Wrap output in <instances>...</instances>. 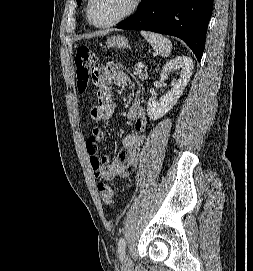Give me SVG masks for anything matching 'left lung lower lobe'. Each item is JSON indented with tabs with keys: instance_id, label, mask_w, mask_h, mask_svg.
<instances>
[{
	"instance_id": "obj_1",
	"label": "left lung lower lobe",
	"mask_w": 253,
	"mask_h": 271,
	"mask_svg": "<svg viewBox=\"0 0 253 271\" xmlns=\"http://www.w3.org/2000/svg\"><path fill=\"white\" fill-rule=\"evenodd\" d=\"M213 0H141L137 12L118 26L182 39L201 60Z\"/></svg>"
}]
</instances>
